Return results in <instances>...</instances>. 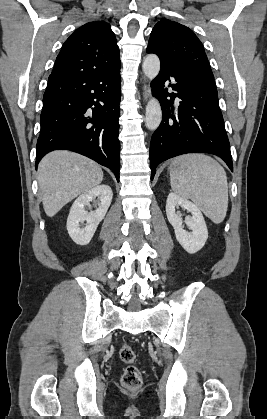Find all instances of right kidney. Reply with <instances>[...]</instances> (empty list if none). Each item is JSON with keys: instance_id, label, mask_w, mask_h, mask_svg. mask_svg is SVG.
Masks as SVG:
<instances>
[{"instance_id": "1", "label": "right kidney", "mask_w": 267, "mask_h": 419, "mask_svg": "<svg viewBox=\"0 0 267 419\" xmlns=\"http://www.w3.org/2000/svg\"><path fill=\"white\" fill-rule=\"evenodd\" d=\"M112 196L110 186L103 184L83 193L74 201L67 218V230L76 244L87 245L91 241L98 224L105 217ZM96 199L98 207L88 213L85 207H90V202ZM84 222L85 226H81Z\"/></svg>"}]
</instances>
